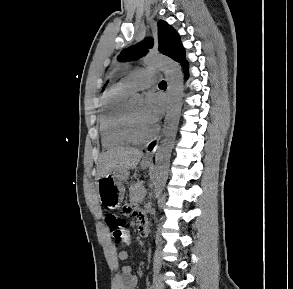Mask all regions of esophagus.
Listing matches in <instances>:
<instances>
[{"label": "esophagus", "instance_id": "obj_1", "mask_svg": "<svg viewBox=\"0 0 293 289\" xmlns=\"http://www.w3.org/2000/svg\"><path fill=\"white\" fill-rule=\"evenodd\" d=\"M160 139H161V136L147 145L146 153L144 156L145 161H152L153 160V155L159 145Z\"/></svg>", "mask_w": 293, "mask_h": 289}]
</instances>
